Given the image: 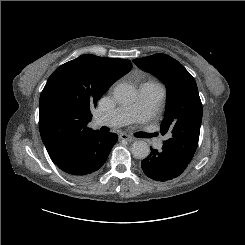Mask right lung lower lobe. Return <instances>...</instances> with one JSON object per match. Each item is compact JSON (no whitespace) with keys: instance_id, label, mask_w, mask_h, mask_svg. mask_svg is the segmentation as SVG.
Returning <instances> with one entry per match:
<instances>
[{"instance_id":"obj_1","label":"right lung lower lobe","mask_w":245,"mask_h":245,"mask_svg":"<svg viewBox=\"0 0 245 245\" xmlns=\"http://www.w3.org/2000/svg\"><path fill=\"white\" fill-rule=\"evenodd\" d=\"M117 139L114 134L94 131L76 143L55 164L75 179L90 178L105 163Z\"/></svg>"}]
</instances>
